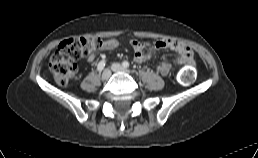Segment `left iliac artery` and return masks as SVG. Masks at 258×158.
I'll return each mask as SVG.
<instances>
[{"mask_svg":"<svg viewBox=\"0 0 258 158\" xmlns=\"http://www.w3.org/2000/svg\"><path fill=\"white\" fill-rule=\"evenodd\" d=\"M122 65L125 67V68H127V67H129V62L128 61H124L123 63H122Z\"/></svg>","mask_w":258,"mask_h":158,"instance_id":"1","label":"left iliac artery"}]
</instances>
